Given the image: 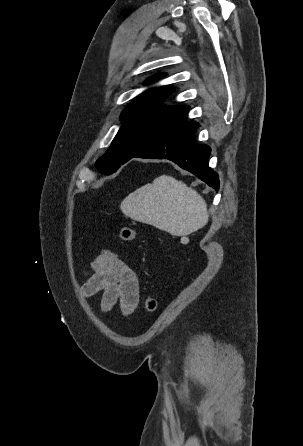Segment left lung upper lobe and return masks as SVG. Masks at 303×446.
<instances>
[{
    "label": "left lung upper lobe",
    "mask_w": 303,
    "mask_h": 446,
    "mask_svg": "<svg viewBox=\"0 0 303 446\" xmlns=\"http://www.w3.org/2000/svg\"><path fill=\"white\" fill-rule=\"evenodd\" d=\"M160 77L161 75H156L149 81ZM173 91L172 88H154L128 105L121 114L123 126L109 149L96 162L100 172L113 173L123 159L172 134L187 121L185 115L188 106H160Z\"/></svg>",
    "instance_id": "5c2ea615"
}]
</instances>
